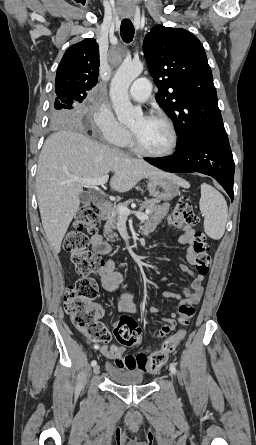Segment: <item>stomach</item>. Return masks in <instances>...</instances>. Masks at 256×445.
<instances>
[{"label":"stomach","instance_id":"1","mask_svg":"<svg viewBox=\"0 0 256 445\" xmlns=\"http://www.w3.org/2000/svg\"><path fill=\"white\" fill-rule=\"evenodd\" d=\"M148 190L151 196L163 201H170L179 194V187L170 176L149 178Z\"/></svg>","mask_w":256,"mask_h":445}]
</instances>
